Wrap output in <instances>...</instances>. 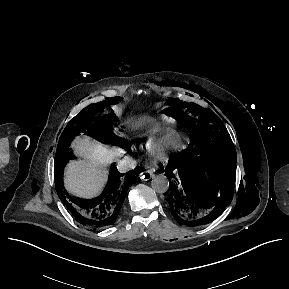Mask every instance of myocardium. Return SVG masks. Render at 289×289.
I'll use <instances>...</instances> for the list:
<instances>
[{
    "mask_svg": "<svg viewBox=\"0 0 289 289\" xmlns=\"http://www.w3.org/2000/svg\"><path fill=\"white\" fill-rule=\"evenodd\" d=\"M179 150V145L172 142L165 149L158 152L156 156V161L158 163H166L169 159V155L171 152H175Z\"/></svg>",
    "mask_w": 289,
    "mask_h": 289,
    "instance_id": "f54148a6",
    "label": "myocardium"
}]
</instances>
